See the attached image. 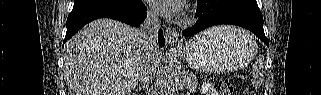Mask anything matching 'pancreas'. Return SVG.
Instances as JSON below:
<instances>
[{"instance_id":"obj_1","label":"pancreas","mask_w":321,"mask_h":95,"mask_svg":"<svg viewBox=\"0 0 321 95\" xmlns=\"http://www.w3.org/2000/svg\"><path fill=\"white\" fill-rule=\"evenodd\" d=\"M184 84L186 86L188 94L196 92L198 81L193 74L189 73L185 76Z\"/></svg>"}]
</instances>
